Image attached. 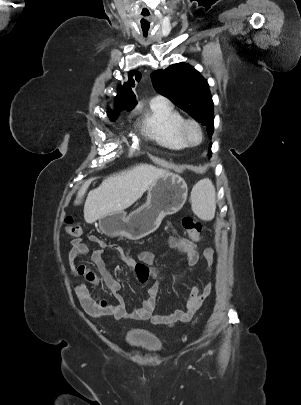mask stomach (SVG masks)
<instances>
[{
  "instance_id": "1",
  "label": "stomach",
  "mask_w": 301,
  "mask_h": 405,
  "mask_svg": "<svg viewBox=\"0 0 301 405\" xmlns=\"http://www.w3.org/2000/svg\"><path fill=\"white\" fill-rule=\"evenodd\" d=\"M188 187L178 174L167 172L148 189L146 203L127 215L115 212L100 219L101 229L112 236L141 239L155 231L166 215L178 212L187 200Z\"/></svg>"
}]
</instances>
